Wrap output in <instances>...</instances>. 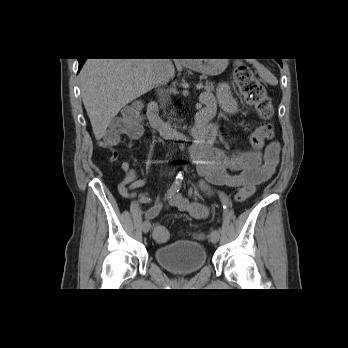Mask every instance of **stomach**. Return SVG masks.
Masks as SVG:
<instances>
[{
  "label": "stomach",
  "mask_w": 348,
  "mask_h": 348,
  "mask_svg": "<svg viewBox=\"0 0 348 348\" xmlns=\"http://www.w3.org/2000/svg\"><path fill=\"white\" fill-rule=\"evenodd\" d=\"M227 59H194L188 67L205 76H215L224 71Z\"/></svg>",
  "instance_id": "obj_1"
}]
</instances>
